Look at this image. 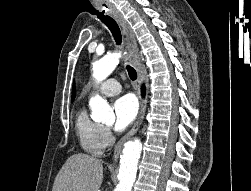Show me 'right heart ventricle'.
<instances>
[{"label": "right heart ventricle", "mask_w": 251, "mask_h": 191, "mask_svg": "<svg viewBox=\"0 0 251 191\" xmlns=\"http://www.w3.org/2000/svg\"><path fill=\"white\" fill-rule=\"evenodd\" d=\"M75 130L81 149L91 155H100L104 149L102 125L91 120L84 108L76 113Z\"/></svg>", "instance_id": "1"}]
</instances>
